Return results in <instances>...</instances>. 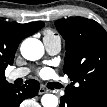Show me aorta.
<instances>
[{
  "label": "aorta",
  "mask_w": 107,
  "mask_h": 107,
  "mask_svg": "<svg viewBox=\"0 0 107 107\" xmlns=\"http://www.w3.org/2000/svg\"><path fill=\"white\" fill-rule=\"evenodd\" d=\"M22 56L30 61L40 59L44 54V46L41 41L35 38H28L21 44ZM43 107H57L58 98L53 94H44L41 98Z\"/></svg>",
  "instance_id": "obj_1"
}]
</instances>
